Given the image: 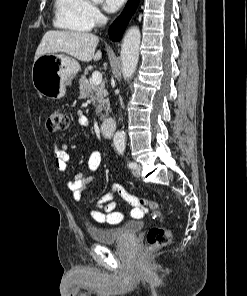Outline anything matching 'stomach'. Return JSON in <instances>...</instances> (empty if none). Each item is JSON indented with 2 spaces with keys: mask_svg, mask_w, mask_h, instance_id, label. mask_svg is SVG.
Segmentation results:
<instances>
[{
  "mask_svg": "<svg viewBox=\"0 0 247 296\" xmlns=\"http://www.w3.org/2000/svg\"><path fill=\"white\" fill-rule=\"evenodd\" d=\"M80 70L79 63L66 55L45 54L32 66V83L37 92L50 99L62 98L66 86Z\"/></svg>",
  "mask_w": 247,
  "mask_h": 296,
  "instance_id": "stomach-1",
  "label": "stomach"
}]
</instances>
